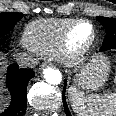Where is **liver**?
<instances>
[{
  "mask_svg": "<svg viewBox=\"0 0 116 116\" xmlns=\"http://www.w3.org/2000/svg\"><path fill=\"white\" fill-rule=\"evenodd\" d=\"M2 64H3V63H2V62H0V66H2ZM1 71H2V69L0 68V72H1ZM0 77H1V75H0ZM0 98H1V97H0Z\"/></svg>",
  "mask_w": 116,
  "mask_h": 116,
  "instance_id": "obj_1",
  "label": "liver"
}]
</instances>
